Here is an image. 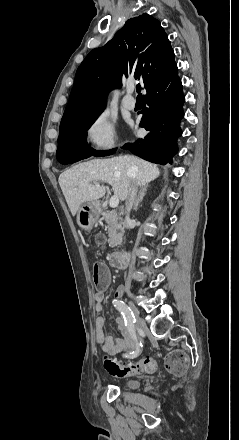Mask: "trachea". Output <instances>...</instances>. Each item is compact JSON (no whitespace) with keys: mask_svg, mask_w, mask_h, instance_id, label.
Listing matches in <instances>:
<instances>
[{"mask_svg":"<svg viewBox=\"0 0 239 440\" xmlns=\"http://www.w3.org/2000/svg\"><path fill=\"white\" fill-rule=\"evenodd\" d=\"M136 90H137V93H138V95H137V98H142V95H141V85H136Z\"/></svg>","mask_w":239,"mask_h":440,"instance_id":"1","label":"trachea"}]
</instances>
